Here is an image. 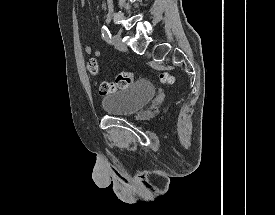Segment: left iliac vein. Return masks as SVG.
Here are the masks:
<instances>
[{"instance_id":"left-iliac-vein-1","label":"left iliac vein","mask_w":275,"mask_h":215,"mask_svg":"<svg viewBox=\"0 0 275 215\" xmlns=\"http://www.w3.org/2000/svg\"><path fill=\"white\" fill-rule=\"evenodd\" d=\"M112 42H113V45H114L118 50H120V51H126V50H127V47H126V45L123 43L122 38H121L120 35H118V34L113 35Z\"/></svg>"}]
</instances>
